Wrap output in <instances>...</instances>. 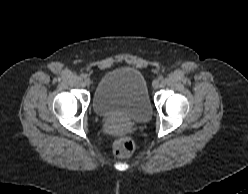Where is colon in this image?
<instances>
[{"label":"colon","mask_w":248,"mask_h":194,"mask_svg":"<svg viewBox=\"0 0 248 194\" xmlns=\"http://www.w3.org/2000/svg\"><path fill=\"white\" fill-rule=\"evenodd\" d=\"M113 150L117 156L126 157L134 151V143L128 137H121L114 142Z\"/></svg>","instance_id":"colon-1"}]
</instances>
